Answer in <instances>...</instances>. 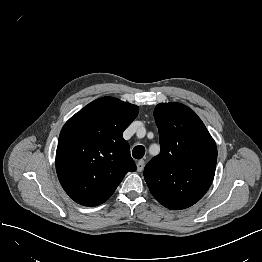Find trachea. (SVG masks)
Instances as JSON below:
<instances>
[{
    "label": "trachea",
    "instance_id": "obj_1",
    "mask_svg": "<svg viewBox=\"0 0 262 262\" xmlns=\"http://www.w3.org/2000/svg\"><path fill=\"white\" fill-rule=\"evenodd\" d=\"M144 154H145V148L142 145L135 146L132 151V155L135 159L143 158Z\"/></svg>",
    "mask_w": 262,
    "mask_h": 262
}]
</instances>
